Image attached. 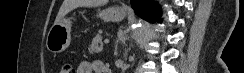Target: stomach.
Masks as SVG:
<instances>
[{
    "instance_id": "0dacf381",
    "label": "stomach",
    "mask_w": 244,
    "mask_h": 73,
    "mask_svg": "<svg viewBox=\"0 0 244 73\" xmlns=\"http://www.w3.org/2000/svg\"><path fill=\"white\" fill-rule=\"evenodd\" d=\"M98 16L104 21L119 22L122 21L126 13L118 7H110L99 11ZM71 42V19L63 18L58 23H54L48 32L46 38V47L48 51L54 54L65 51Z\"/></svg>"
}]
</instances>
